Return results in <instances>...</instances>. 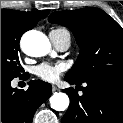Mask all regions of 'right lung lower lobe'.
<instances>
[{
  "instance_id": "obj_1",
  "label": "right lung lower lobe",
  "mask_w": 123,
  "mask_h": 123,
  "mask_svg": "<svg viewBox=\"0 0 123 123\" xmlns=\"http://www.w3.org/2000/svg\"><path fill=\"white\" fill-rule=\"evenodd\" d=\"M51 94V85L41 80L30 81L26 91L1 80V123H32L35 111Z\"/></svg>"
}]
</instances>
